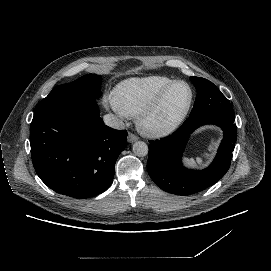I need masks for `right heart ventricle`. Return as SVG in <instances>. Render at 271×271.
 <instances>
[{"instance_id": "obj_1", "label": "right heart ventricle", "mask_w": 271, "mask_h": 271, "mask_svg": "<svg viewBox=\"0 0 271 271\" xmlns=\"http://www.w3.org/2000/svg\"><path fill=\"white\" fill-rule=\"evenodd\" d=\"M175 79L152 75L123 81L116 89V98L126 116L138 117Z\"/></svg>"}]
</instances>
